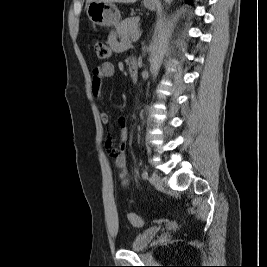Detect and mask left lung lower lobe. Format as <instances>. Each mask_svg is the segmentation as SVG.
<instances>
[{
  "label": "left lung lower lobe",
  "mask_w": 267,
  "mask_h": 267,
  "mask_svg": "<svg viewBox=\"0 0 267 267\" xmlns=\"http://www.w3.org/2000/svg\"><path fill=\"white\" fill-rule=\"evenodd\" d=\"M186 2H187V3H192V1H191V0H186Z\"/></svg>",
  "instance_id": "1"
}]
</instances>
